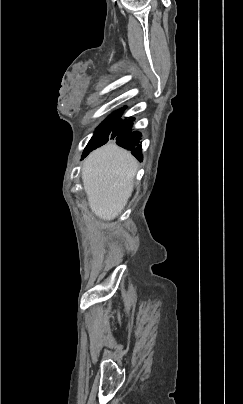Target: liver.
<instances>
[{"label":"liver","mask_w":243,"mask_h":404,"mask_svg":"<svg viewBox=\"0 0 243 404\" xmlns=\"http://www.w3.org/2000/svg\"><path fill=\"white\" fill-rule=\"evenodd\" d=\"M138 164L130 152L106 144L83 162L82 182L90 210L101 220H114L124 210L133 190Z\"/></svg>","instance_id":"liver-1"}]
</instances>
